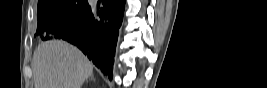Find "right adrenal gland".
<instances>
[{
    "label": "right adrenal gland",
    "mask_w": 267,
    "mask_h": 88,
    "mask_svg": "<svg viewBox=\"0 0 267 88\" xmlns=\"http://www.w3.org/2000/svg\"><path fill=\"white\" fill-rule=\"evenodd\" d=\"M91 79H94V78H93V75H91Z\"/></svg>",
    "instance_id": "right-adrenal-gland-1"
}]
</instances>
